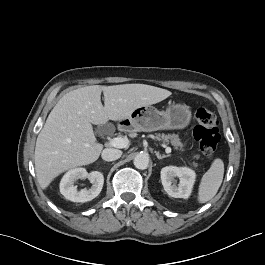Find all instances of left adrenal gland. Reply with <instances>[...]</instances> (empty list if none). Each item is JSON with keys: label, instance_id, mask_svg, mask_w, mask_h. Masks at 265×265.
Listing matches in <instances>:
<instances>
[{"label": "left adrenal gland", "instance_id": "left-adrenal-gland-1", "mask_svg": "<svg viewBox=\"0 0 265 265\" xmlns=\"http://www.w3.org/2000/svg\"><path fill=\"white\" fill-rule=\"evenodd\" d=\"M155 154L159 160L166 158V157H170V155H161L159 152H156V151H155Z\"/></svg>", "mask_w": 265, "mask_h": 265}]
</instances>
